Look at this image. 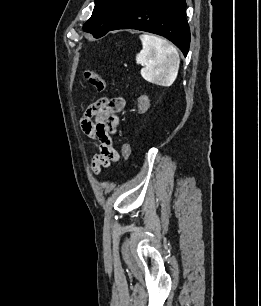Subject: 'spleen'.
<instances>
[{"instance_id":"1","label":"spleen","mask_w":261,"mask_h":306,"mask_svg":"<svg viewBox=\"0 0 261 306\" xmlns=\"http://www.w3.org/2000/svg\"><path fill=\"white\" fill-rule=\"evenodd\" d=\"M142 50L136 55V63L143 66L142 77L153 84L169 87L177 78L180 57L177 49L166 40L143 34Z\"/></svg>"}]
</instances>
